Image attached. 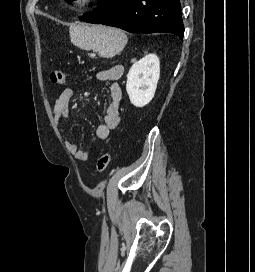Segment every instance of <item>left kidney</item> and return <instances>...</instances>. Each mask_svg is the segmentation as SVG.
Segmentation results:
<instances>
[{"label":"left kidney","instance_id":"5707ae66","mask_svg":"<svg viewBox=\"0 0 255 272\" xmlns=\"http://www.w3.org/2000/svg\"><path fill=\"white\" fill-rule=\"evenodd\" d=\"M159 77L160 61L155 54H148L132 65L126 91L134 106L144 107L153 99Z\"/></svg>","mask_w":255,"mask_h":272}]
</instances>
